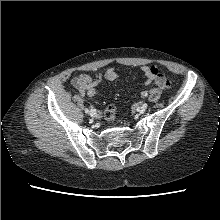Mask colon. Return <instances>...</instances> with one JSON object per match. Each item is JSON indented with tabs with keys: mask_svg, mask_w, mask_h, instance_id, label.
Segmentation results:
<instances>
[{
	"mask_svg": "<svg viewBox=\"0 0 220 220\" xmlns=\"http://www.w3.org/2000/svg\"><path fill=\"white\" fill-rule=\"evenodd\" d=\"M154 72L156 75V85L163 90H168L171 87L170 80L164 74H162L157 67L154 68ZM104 117L109 123H113L116 120V106L114 104H110L106 107Z\"/></svg>",
	"mask_w": 220,
	"mask_h": 220,
	"instance_id": "5ec220e1",
	"label": "colon"
}]
</instances>
